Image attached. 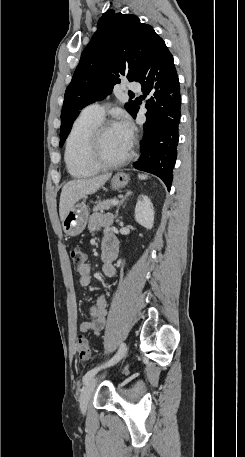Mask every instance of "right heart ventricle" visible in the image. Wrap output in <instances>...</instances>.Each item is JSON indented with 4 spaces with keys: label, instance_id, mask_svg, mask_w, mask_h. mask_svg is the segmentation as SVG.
Returning <instances> with one entry per match:
<instances>
[{
    "label": "right heart ventricle",
    "instance_id": "e07e8e85",
    "mask_svg": "<svg viewBox=\"0 0 245 457\" xmlns=\"http://www.w3.org/2000/svg\"><path fill=\"white\" fill-rule=\"evenodd\" d=\"M99 122L100 119L87 115H80L72 125L66 140L65 160L69 172L74 177L88 176L94 172V170L81 162L80 154L83 149L85 136L88 131Z\"/></svg>",
    "mask_w": 245,
    "mask_h": 457
}]
</instances>
